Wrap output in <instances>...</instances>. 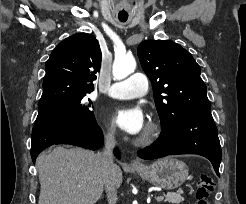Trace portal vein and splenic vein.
Instances as JSON below:
<instances>
[{"label":"portal vein and splenic vein","instance_id":"18ae733b","mask_svg":"<svg viewBox=\"0 0 246 204\" xmlns=\"http://www.w3.org/2000/svg\"><path fill=\"white\" fill-rule=\"evenodd\" d=\"M163 199H164L163 196H158V197L156 198L157 201H162Z\"/></svg>","mask_w":246,"mask_h":204}]
</instances>
